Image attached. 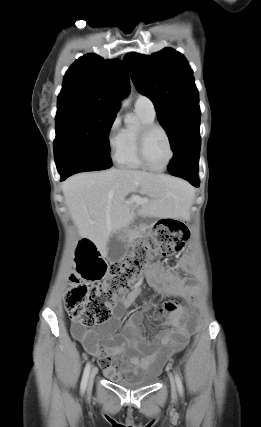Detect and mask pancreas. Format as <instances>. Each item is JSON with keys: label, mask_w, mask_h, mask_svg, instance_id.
Here are the masks:
<instances>
[{"label": "pancreas", "mask_w": 261, "mask_h": 427, "mask_svg": "<svg viewBox=\"0 0 261 427\" xmlns=\"http://www.w3.org/2000/svg\"><path fill=\"white\" fill-rule=\"evenodd\" d=\"M146 227L140 228V230L136 233V237H140L145 233Z\"/></svg>", "instance_id": "cf45deb5"}]
</instances>
